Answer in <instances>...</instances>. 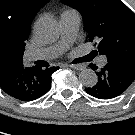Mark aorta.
Instances as JSON below:
<instances>
[{"label": "aorta", "mask_w": 135, "mask_h": 135, "mask_svg": "<svg viewBox=\"0 0 135 135\" xmlns=\"http://www.w3.org/2000/svg\"><path fill=\"white\" fill-rule=\"evenodd\" d=\"M36 36L44 42H54L60 35V26L52 17H42L34 25ZM79 81L86 87L94 86L97 81V75L92 69H83L79 73Z\"/></svg>", "instance_id": "1"}]
</instances>
